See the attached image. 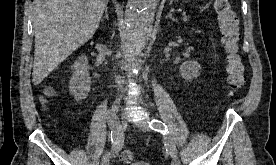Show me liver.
<instances>
[{
  "mask_svg": "<svg viewBox=\"0 0 276 165\" xmlns=\"http://www.w3.org/2000/svg\"><path fill=\"white\" fill-rule=\"evenodd\" d=\"M33 85H39L96 32L108 0H34Z\"/></svg>",
  "mask_w": 276,
  "mask_h": 165,
  "instance_id": "obj_1",
  "label": "liver"
}]
</instances>
